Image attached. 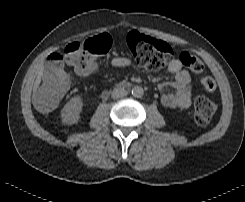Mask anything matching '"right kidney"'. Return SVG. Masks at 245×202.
Instances as JSON below:
<instances>
[{"label": "right kidney", "mask_w": 245, "mask_h": 202, "mask_svg": "<svg viewBox=\"0 0 245 202\" xmlns=\"http://www.w3.org/2000/svg\"><path fill=\"white\" fill-rule=\"evenodd\" d=\"M83 103L80 96H75L63 107L61 112L62 122L72 125L78 122L82 111Z\"/></svg>", "instance_id": "1"}]
</instances>
